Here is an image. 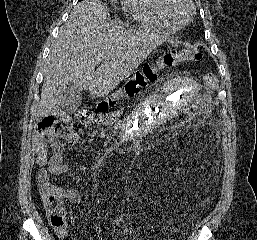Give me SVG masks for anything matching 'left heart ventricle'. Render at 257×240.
<instances>
[{"mask_svg": "<svg viewBox=\"0 0 257 240\" xmlns=\"http://www.w3.org/2000/svg\"><path fill=\"white\" fill-rule=\"evenodd\" d=\"M174 13L181 21H185L190 13V8L187 4L179 2L174 7Z\"/></svg>", "mask_w": 257, "mask_h": 240, "instance_id": "left-heart-ventricle-1", "label": "left heart ventricle"}]
</instances>
